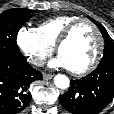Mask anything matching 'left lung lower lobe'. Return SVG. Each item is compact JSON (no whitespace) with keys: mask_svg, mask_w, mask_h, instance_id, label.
<instances>
[{"mask_svg":"<svg viewBox=\"0 0 114 114\" xmlns=\"http://www.w3.org/2000/svg\"><path fill=\"white\" fill-rule=\"evenodd\" d=\"M114 96V63L98 67L82 80H71L61 105L72 114H98Z\"/></svg>","mask_w":114,"mask_h":114,"instance_id":"0a47b994","label":"left lung lower lobe"}]
</instances>
